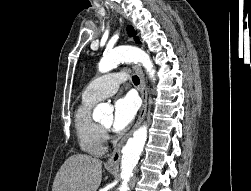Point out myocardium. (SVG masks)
<instances>
[{
  "label": "myocardium",
  "mask_w": 251,
  "mask_h": 191,
  "mask_svg": "<svg viewBox=\"0 0 251 191\" xmlns=\"http://www.w3.org/2000/svg\"><path fill=\"white\" fill-rule=\"evenodd\" d=\"M102 127H103L104 129H106V128H107L105 125H102Z\"/></svg>",
  "instance_id": "f54148a6"
}]
</instances>
